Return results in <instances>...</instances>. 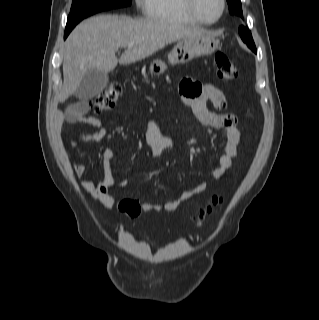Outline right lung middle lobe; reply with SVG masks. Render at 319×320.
I'll list each match as a JSON object with an SVG mask.
<instances>
[{"mask_svg":"<svg viewBox=\"0 0 319 320\" xmlns=\"http://www.w3.org/2000/svg\"><path fill=\"white\" fill-rule=\"evenodd\" d=\"M132 0H73L66 29H73L82 19L100 11L130 6Z\"/></svg>","mask_w":319,"mask_h":320,"instance_id":"dd1d6c3e","label":"right lung middle lobe"}]
</instances>
